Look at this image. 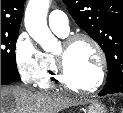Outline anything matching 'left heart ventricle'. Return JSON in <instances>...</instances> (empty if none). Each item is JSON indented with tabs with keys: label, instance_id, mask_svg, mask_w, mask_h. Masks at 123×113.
<instances>
[{
	"label": "left heart ventricle",
	"instance_id": "1",
	"mask_svg": "<svg viewBox=\"0 0 123 113\" xmlns=\"http://www.w3.org/2000/svg\"><path fill=\"white\" fill-rule=\"evenodd\" d=\"M60 46L56 53H61ZM65 65L69 78L82 87L91 86L98 77L99 59L95 49L86 41L76 42L66 53Z\"/></svg>",
	"mask_w": 123,
	"mask_h": 113
}]
</instances>
